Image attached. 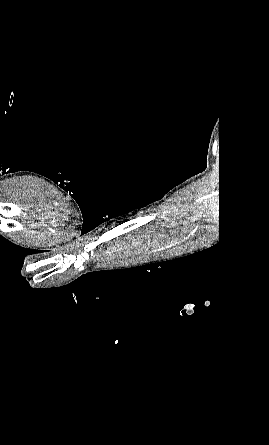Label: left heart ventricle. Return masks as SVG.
<instances>
[{
	"label": "left heart ventricle",
	"instance_id": "left-heart-ventricle-1",
	"mask_svg": "<svg viewBox=\"0 0 269 445\" xmlns=\"http://www.w3.org/2000/svg\"><path fill=\"white\" fill-rule=\"evenodd\" d=\"M51 231H52V232H46L45 234L42 233V234L40 235V237H39V235H38V239H45L46 237H50V235H53V236L57 235V233L55 232V230H51Z\"/></svg>",
	"mask_w": 269,
	"mask_h": 445
}]
</instances>
